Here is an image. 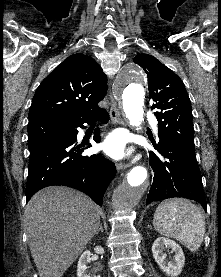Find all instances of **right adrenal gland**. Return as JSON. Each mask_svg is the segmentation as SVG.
<instances>
[{"mask_svg": "<svg viewBox=\"0 0 221 277\" xmlns=\"http://www.w3.org/2000/svg\"><path fill=\"white\" fill-rule=\"evenodd\" d=\"M99 232L103 233L104 232V229L102 227V224L99 225V228L97 230V232L95 234H98Z\"/></svg>", "mask_w": 221, "mask_h": 277, "instance_id": "obj_1", "label": "right adrenal gland"}]
</instances>
